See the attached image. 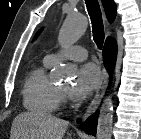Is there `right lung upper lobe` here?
<instances>
[{
  "label": "right lung upper lobe",
  "instance_id": "obj_1",
  "mask_svg": "<svg viewBox=\"0 0 141 139\" xmlns=\"http://www.w3.org/2000/svg\"><path fill=\"white\" fill-rule=\"evenodd\" d=\"M106 16L109 22H113L116 17V4L113 0H102Z\"/></svg>",
  "mask_w": 141,
  "mask_h": 139
}]
</instances>
